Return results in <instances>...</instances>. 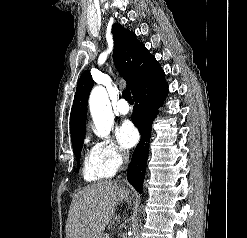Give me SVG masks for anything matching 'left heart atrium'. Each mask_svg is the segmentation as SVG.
Listing matches in <instances>:
<instances>
[{
  "label": "left heart atrium",
  "mask_w": 247,
  "mask_h": 238,
  "mask_svg": "<svg viewBox=\"0 0 247 238\" xmlns=\"http://www.w3.org/2000/svg\"><path fill=\"white\" fill-rule=\"evenodd\" d=\"M116 135L120 145L124 148L134 146L139 138L137 129L130 121L123 122Z\"/></svg>",
  "instance_id": "1"
}]
</instances>
